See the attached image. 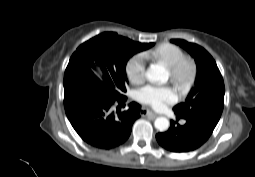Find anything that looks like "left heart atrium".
<instances>
[{"instance_id": "left-heart-atrium-1", "label": "left heart atrium", "mask_w": 255, "mask_h": 177, "mask_svg": "<svg viewBox=\"0 0 255 177\" xmlns=\"http://www.w3.org/2000/svg\"><path fill=\"white\" fill-rule=\"evenodd\" d=\"M138 100L156 109L163 108L166 104L176 100L173 89L166 86L146 85L137 93Z\"/></svg>"}]
</instances>
